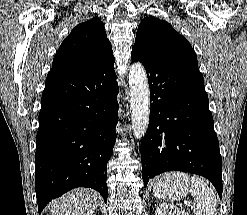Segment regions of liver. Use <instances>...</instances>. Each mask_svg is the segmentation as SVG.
Instances as JSON below:
<instances>
[{
	"label": "liver",
	"mask_w": 247,
	"mask_h": 215,
	"mask_svg": "<svg viewBox=\"0 0 247 215\" xmlns=\"http://www.w3.org/2000/svg\"><path fill=\"white\" fill-rule=\"evenodd\" d=\"M97 206V197L93 193L88 189H78L54 203L51 215H93Z\"/></svg>",
	"instance_id": "1"
}]
</instances>
